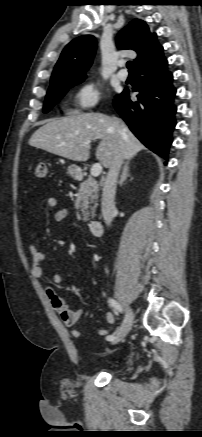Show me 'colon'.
Returning <instances> with one entry per match:
<instances>
[{"instance_id":"obj_1","label":"colon","mask_w":202,"mask_h":437,"mask_svg":"<svg viewBox=\"0 0 202 437\" xmlns=\"http://www.w3.org/2000/svg\"><path fill=\"white\" fill-rule=\"evenodd\" d=\"M48 173L47 164L45 162H39L35 167V175L38 178H45Z\"/></svg>"}]
</instances>
